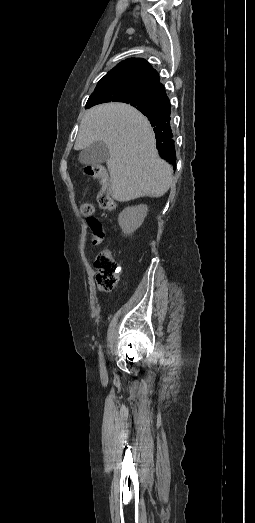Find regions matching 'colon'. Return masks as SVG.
<instances>
[{"label":"colon","mask_w":255,"mask_h":523,"mask_svg":"<svg viewBox=\"0 0 255 523\" xmlns=\"http://www.w3.org/2000/svg\"><path fill=\"white\" fill-rule=\"evenodd\" d=\"M86 173L92 179L97 180L101 184V188L97 195L99 206L105 212H112L116 209V204L111 196L110 186L108 181V172L103 165H93L86 169ZM95 208L91 203H83L80 206V213L90 220L93 218ZM96 268V281L101 291H110L119 280L120 268L112 254L108 249L101 250L94 262Z\"/></svg>","instance_id":"obj_1"}]
</instances>
